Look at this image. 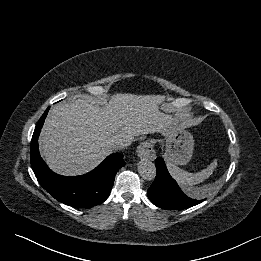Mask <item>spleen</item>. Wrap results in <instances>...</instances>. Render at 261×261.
Listing matches in <instances>:
<instances>
[{"label": "spleen", "instance_id": "spleen-1", "mask_svg": "<svg viewBox=\"0 0 261 261\" xmlns=\"http://www.w3.org/2000/svg\"><path fill=\"white\" fill-rule=\"evenodd\" d=\"M217 166V160L215 159L207 168L203 169L198 173H189L185 170L180 169L173 163H167V168L171 176L181 186H192L203 182L207 179L214 171Z\"/></svg>", "mask_w": 261, "mask_h": 261}]
</instances>
